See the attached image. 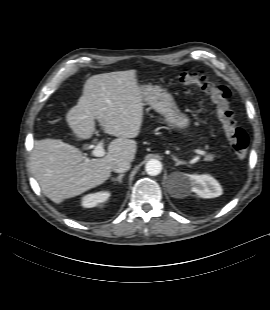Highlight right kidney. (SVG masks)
<instances>
[{"mask_svg": "<svg viewBox=\"0 0 270 310\" xmlns=\"http://www.w3.org/2000/svg\"><path fill=\"white\" fill-rule=\"evenodd\" d=\"M110 196V193L107 191H100L97 193H91L85 195L82 198V206L86 208L95 207L99 203L105 202Z\"/></svg>", "mask_w": 270, "mask_h": 310, "instance_id": "1", "label": "right kidney"}]
</instances>
